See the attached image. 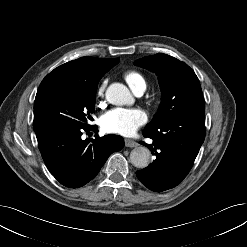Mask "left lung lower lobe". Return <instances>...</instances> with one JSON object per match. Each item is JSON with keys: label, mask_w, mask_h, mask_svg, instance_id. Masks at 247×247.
<instances>
[{"label": "left lung lower lobe", "mask_w": 247, "mask_h": 247, "mask_svg": "<svg viewBox=\"0 0 247 247\" xmlns=\"http://www.w3.org/2000/svg\"><path fill=\"white\" fill-rule=\"evenodd\" d=\"M205 115L176 116L155 129L143 130L155 160L136 172L148 189L162 192L177 186L189 173L205 138Z\"/></svg>", "instance_id": "1"}]
</instances>
